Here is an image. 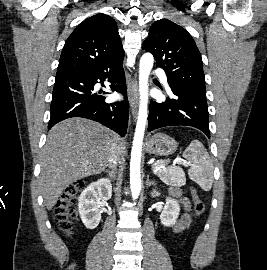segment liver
Returning <instances> with one entry per match:
<instances>
[{"label":"liver","mask_w":267,"mask_h":270,"mask_svg":"<svg viewBox=\"0 0 267 270\" xmlns=\"http://www.w3.org/2000/svg\"><path fill=\"white\" fill-rule=\"evenodd\" d=\"M124 153L123 140L110 129L84 118H69L48 133L41 155L40 187L51 210L70 184L105 170L112 147Z\"/></svg>","instance_id":"6515ba94"}]
</instances>
